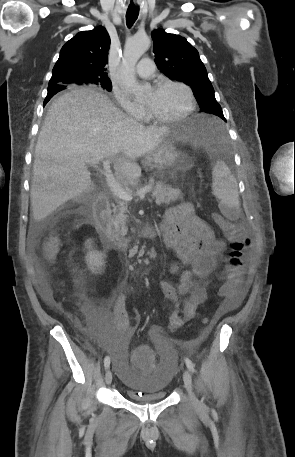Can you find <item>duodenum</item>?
Returning a JSON list of instances; mask_svg holds the SVG:
<instances>
[{"mask_svg": "<svg viewBox=\"0 0 295 457\" xmlns=\"http://www.w3.org/2000/svg\"><path fill=\"white\" fill-rule=\"evenodd\" d=\"M83 215L93 223L107 249L127 250L132 245V240L119 236L112 229L109 220V199L105 193H99L91 207L84 208ZM161 231H163L161 224L148 227L144 237L154 238Z\"/></svg>", "mask_w": 295, "mask_h": 457, "instance_id": "410a0bca", "label": "duodenum"}]
</instances>
